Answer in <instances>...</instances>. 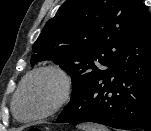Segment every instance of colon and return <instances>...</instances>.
<instances>
[{"label": "colon", "mask_w": 151, "mask_h": 131, "mask_svg": "<svg viewBox=\"0 0 151 131\" xmlns=\"http://www.w3.org/2000/svg\"><path fill=\"white\" fill-rule=\"evenodd\" d=\"M23 131H42L40 128L38 127H28V128H25Z\"/></svg>", "instance_id": "obj_1"}]
</instances>
